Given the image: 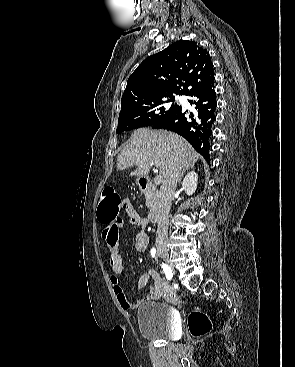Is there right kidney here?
Here are the masks:
<instances>
[{"mask_svg": "<svg viewBox=\"0 0 295 367\" xmlns=\"http://www.w3.org/2000/svg\"><path fill=\"white\" fill-rule=\"evenodd\" d=\"M198 175L196 172H190L183 180L182 188L187 195L191 196L197 188Z\"/></svg>", "mask_w": 295, "mask_h": 367, "instance_id": "ca27d5eb", "label": "right kidney"}]
</instances>
